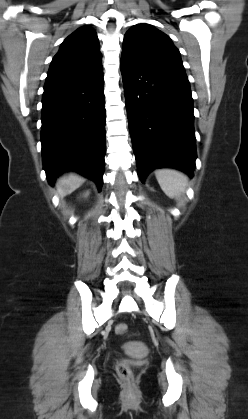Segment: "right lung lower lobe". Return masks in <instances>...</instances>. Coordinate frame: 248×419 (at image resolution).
<instances>
[{"label":"right lung lower lobe","mask_w":248,"mask_h":419,"mask_svg":"<svg viewBox=\"0 0 248 419\" xmlns=\"http://www.w3.org/2000/svg\"><path fill=\"white\" fill-rule=\"evenodd\" d=\"M103 89L102 66L83 76L45 83L41 143L50 184L62 170H74L101 190L106 150Z\"/></svg>","instance_id":"98d812e1"}]
</instances>
